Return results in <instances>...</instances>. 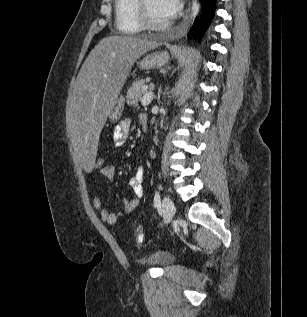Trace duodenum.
<instances>
[{
  "instance_id": "obj_1",
  "label": "duodenum",
  "mask_w": 307,
  "mask_h": 317,
  "mask_svg": "<svg viewBox=\"0 0 307 317\" xmlns=\"http://www.w3.org/2000/svg\"><path fill=\"white\" fill-rule=\"evenodd\" d=\"M141 127L144 131H146L148 129V121L147 118L145 116L141 117Z\"/></svg>"
}]
</instances>
